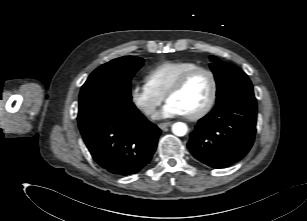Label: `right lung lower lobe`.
<instances>
[{"label":"right lung lower lobe","instance_id":"98d812e1","mask_svg":"<svg viewBox=\"0 0 307 221\" xmlns=\"http://www.w3.org/2000/svg\"><path fill=\"white\" fill-rule=\"evenodd\" d=\"M80 130L97 164L119 176L135 174L149 163L161 133L137 108L96 118Z\"/></svg>","mask_w":307,"mask_h":221}]
</instances>
